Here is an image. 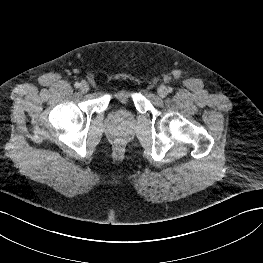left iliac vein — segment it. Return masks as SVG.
<instances>
[{"mask_svg": "<svg viewBox=\"0 0 263 263\" xmlns=\"http://www.w3.org/2000/svg\"><path fill=\"white\" fill-rule=\"evenodd\" d=\"M168 94L167 88L165 86H160L158 89V95L160 97H165Z\"/></svg>", "mask_w": 263, "mask_h": 263, "instance_id": "4c4485c4", "label": "left iliac vein"}]
</instances>
